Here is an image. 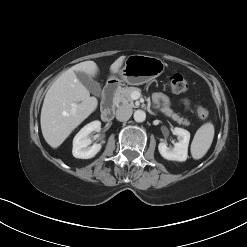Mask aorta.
Here are the masks:
<instances>
[{"label":"aorta","mask_w":247,"mask_h":247,"mask_svg":"<svg viewBox=\"0 0 247 247\" xmlns=\"http://www.w3.org/2000/svg\"><path fill=\"white\" fill-rule=\"evenodd\" d=\"M146 119V113L143 110H136L134 112V120L136 122H144Z\"/></svg>","instance_id":"1"}]
</instances>
